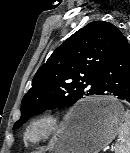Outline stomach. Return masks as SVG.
<instances>
[{
	"mask_svg": "<svg viewBox=\"0 0 130 153\" xmlns=\"http://www.w3.org/2000/svg\"><path fill=\"white\" fill-rule=\"evenodd\" d=\"M81 108L95 113L85 120L76 119ZM124 109L113 97H97L81 103L67 125L50 141L49 153H98L112 142L124 122Z\"/></svg>",
	"mask_w": 130,
	"mask_h": 153,
	"instance_id": "1",
	"label": "stomach"
}]
</instances>
